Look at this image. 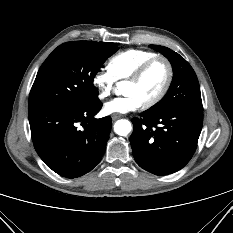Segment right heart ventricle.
Masks as SVG:
<instances>
[{
	"mask_svg": "<svg viewBox=\"0 0 233 233\" xmlns=\"http://www.w3.org/2000/svg\"><path fill=\"white\" fill-rule=\"evenodd\" d=\"M157 54L142 49H129L113 56L108 63V70L116 81L129 78L146 60Z\"/></svg>",
	"mask_w": 233,
	"mask_h": 233,
	"instance_id": "e07e8e85",
	"label": "right heart ventricle"
}]
</instances>
